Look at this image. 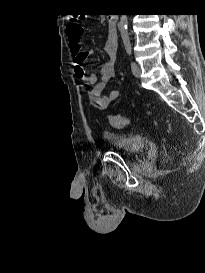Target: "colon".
<instances>
[{
    "instance_id": "obj_1",
    "label": "colon",
    "mask_w": 205,
    "mask_h": 273,
    "mask_svg": "<svg viewBox=\"0 0 205 273\" xmlns=\"http://www.w3.org/2000/svg\"><path fill=\"white\" fill-rule=\"evenodd\" d=\"M68 34L70 39L79 43L80 38L83 34V27L77 21H72L68 24ZM109 122L115 127L123 128L129 124V120L124 115H110Z\"/></svg>"
}]
</instances>
